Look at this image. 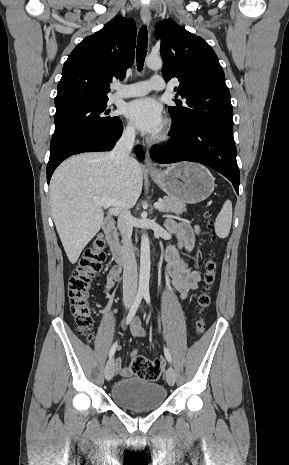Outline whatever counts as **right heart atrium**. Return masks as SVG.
<instances>
[{
  "label": "right heart atrium",
  "mask_w": 289,
  "mask_h": 465,
  "mask_svg": "<svg viewBox=\"0 0 289 465\" xmlns=\"http://www.w3.org/2000/svg\"><path fill=\"white\" fill-rule=\"evenodd\" d=\"M136 132L134 126L128 122L123 128V136L128 140H133L135 138Z\"/></svg>",
  "instance_id": "obj_1"
}]
</instances>
